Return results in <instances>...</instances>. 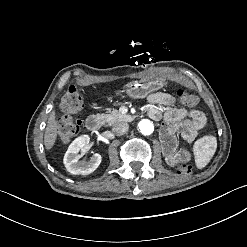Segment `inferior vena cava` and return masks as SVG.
I'll list each match as a JSON object with an SVG mask.
<instances>
[{"label": "inferior vena cava", "instance_id": "1", "mask_svg": "<svg viewBox=\"0 0 247 247\" xmlns=\"http://www.w3.org/2000/svg\"><path fill=\"white\" fill-rule=\"evenodd\" d=\"M129 129V125L126 122H119L114 124L113 126V132L117 135V136H121L123 134H125Z\"/></svg>", "mask_w": 247, "mask_h": 247}]
</instances>
